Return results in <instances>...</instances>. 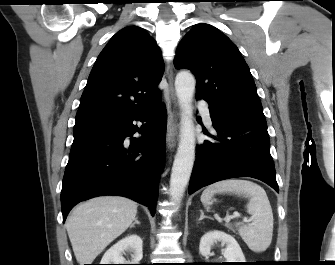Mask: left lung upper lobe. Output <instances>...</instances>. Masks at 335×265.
<instances>
[{"instance_id": "left-lung-upper-lobe-1", "label": "left lung upper lobe", "mask_w": 335, "mask_h": 265, "mask_svg": "<svg viewBox=\"0 0 335 265\" xmlns=\"http://www.w3.org/2000/svg\"><path fill=\"white\" fill-rule=\"evenodd\" d=\"M174 66L196 77V96L209 106L267 130L249 67L236 45L213 26L200 23L180 42Z\"/></svg>"}]
</instances>
